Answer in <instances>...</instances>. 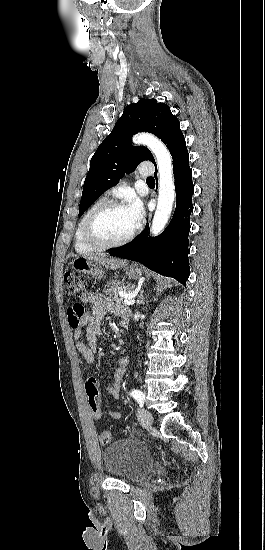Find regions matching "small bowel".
<instances>
[{
	"label": "small bowel",
	"mask_w": 265,
	"mask_h": 550,
	"mask_svg": "<svg viewBox=\"0 0 265 550\" xmlns=\"http://www.w3.org/2000/svg\"><path fill=\"white\" fill-rule=\"evenodd\" d=\"M81 301L83 303H91V311L85 312L81 304H75L70 307L68 311V318L77 320V324L72 327L75 346L82 355L84 362L86 364H91L96 359L100 349L99 330L105 316L108 313H114L119 317L121 325L123 327H127L129 321L128 312L122 306L109 301L104 295L94 291H86L83 293ZM84 327H86L87 344L81 340ZM128 364V357H122L118 361L113 375L112 384L107 387V392L110 397L118 398L120 396L122 381ZM108 414L114 420H119L122 418V414L113 409H110ZM93 418L100 419L101 417Z\"/></svg>",
	"instance_id": "small-bowel-1"
}]
</instances>
